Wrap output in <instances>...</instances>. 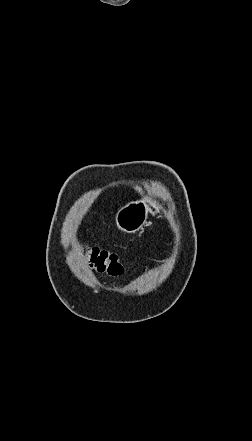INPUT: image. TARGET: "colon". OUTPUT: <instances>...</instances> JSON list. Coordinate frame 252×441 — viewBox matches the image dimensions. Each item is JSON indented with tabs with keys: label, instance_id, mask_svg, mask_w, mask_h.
<instances>
[{
	"label": "colon",
	"instance_id": "5ec220e1",
	"mask_svg": "<svg viewBox=\"0 0 252 441\" xmlns=\"http://www.w3.org/2000/svg\"><path fill=\"white\" fill-rule=\"evenodd\" d=\"M78 249L85 259H87L90 266L96 271L108 273L113 276L123 273L124 265L116 253L85 244H79Z\"/></svg>",
	"mask_w": 252,
	"mask_h": 441
}]
</instances>
